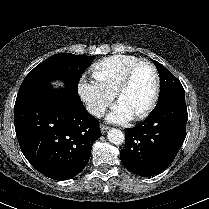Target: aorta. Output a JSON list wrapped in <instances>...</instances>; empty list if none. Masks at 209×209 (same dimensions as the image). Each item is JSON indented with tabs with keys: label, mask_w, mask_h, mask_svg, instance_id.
I'll return each instance as SVG.
<instances>
[{
	"label": "aorta",
	"mask_w": 209,
	"mask_h": 209,
	"mask_svg": "<svg viewBox=\"0 0 209 209\" xmlns=\"http://www.w3.org/2000/svg\"><path fill=\"white\" fill-rule=\"evenodd\" d=\"M107 138L109 142L115 145H121L125 140V136L123 132L116 128H112L108 131Z\"/></svg>",
	"instance_id": "obj_1"
}]
</instances>
